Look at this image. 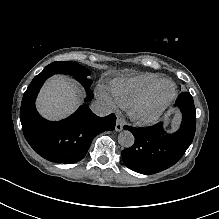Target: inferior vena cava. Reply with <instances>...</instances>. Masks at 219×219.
<instances>
[{"instance_id": "inferior-vena-cava-1", "label": "inferior vena cava", "mask_w": 219, "mask_h": 219, "mask_svg": "<svg viewBox=\"0 0 219 219\" xmlns=\"http://www.w3.org/2000/svg\"><path fill=\"white\" fill-rule=\"evenodd\" d=\"M90 109L94 114L100 117L107 116L111 113L110 107L103 101L96 100L91 104Z\"/></svg>"}]
</instances>
